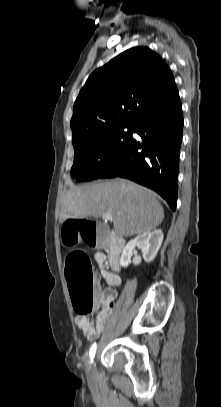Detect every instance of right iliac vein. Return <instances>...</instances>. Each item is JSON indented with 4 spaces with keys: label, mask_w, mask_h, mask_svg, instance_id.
<instances>
[{
    "label": "right iliac vein",
    "mask_w": 221,
    "mask_h": 407,
    "mask_svg": "<svg viewBox=\"0 0 221 407\" xmlns=\"http://www.w3.org/2000/svg\"><path fill=\"white\" fill-rule=\"evenodd\" d=\"M95 366H96V364H95V362H93V363L91 364L90 370H89V374H90V375H92V374L94 373V371H95Z\"/></svg>",
    "instance_id": "right-iliac-vein-1"
}]
</instances>
